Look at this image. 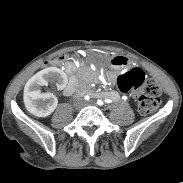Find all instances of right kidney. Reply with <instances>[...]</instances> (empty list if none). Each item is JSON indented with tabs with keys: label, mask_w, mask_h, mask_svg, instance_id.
<instances>
[{
	"label": "right kidney",
	"mask_w": 183,
	"mask_h": 183,
	"mask_svg": "<svg viewBox=\"0 0 183 183\" xmlns=\"http://www.w3.org/2000/svg\"><path fill=\"white\" fill-rule=\"evenodd\" d=\"M49 82L56 83L58 89H64L67 75L59 68L48 67L31 77L24 87L25 107L36 117H48L57 107V97L41 91V86H47Z\"/></svg>",
	"instance_id": "1"
}]
</instances>
